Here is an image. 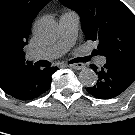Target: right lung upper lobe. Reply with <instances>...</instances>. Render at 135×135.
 Listing matches in <instances>:
<instances>
[{
    "label": "right lung upper lobe",
    "mask_w": 135,
    "mask_h": 135,
    "mask_svg": "<svg viewBox=\"0 0 135 135\" xmlns=\"http://www.w3.org/2000/svg\"><path fill=\"white\" fill-rule=\"evenodd\" d=\"M49 1L0 0V70L25 66L23 48L28 42L32 21Z\"/></svg>",
    "instance_id": "right-lung-upper-lobe-1"
}]
</instances>
